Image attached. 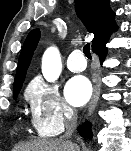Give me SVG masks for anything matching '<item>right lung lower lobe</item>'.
Listing matches in <instances>:
<instances>
[{"instance_id": "98d812e1", "label": "right lung lower lobe", "mask_w": 131, "mask_h": 151, "mask_svg": "<svg viewBox=\"0 0 131 151\" xmlns=\"http://www.w3.org/2000/svg\"><path fill=\"white\" fill-rule=\"evenodd\" d=\"M108 39L106 41L100 43L99 45L95 46L92 49L93 52L99 56L101 65L105 59L106 54H107L106 43H107ZM78 132L84 138H92L91 123L85 122V124L83 126H80L78 128Z\"/></svg>"}]
</instances>
